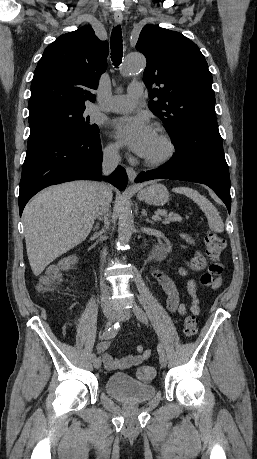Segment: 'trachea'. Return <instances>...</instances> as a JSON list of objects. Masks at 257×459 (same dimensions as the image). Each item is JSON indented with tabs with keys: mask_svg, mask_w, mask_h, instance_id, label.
Returning <instances> with one entry per match:
<instances>
[{
	"mask_svg": "<svg viewBox=\"0 0 257 459\" xmlns=\"http://www.w3.org/2000/svg\"><path fill=\"white\" fill-rule=\"evenodd\" d=\"M123 56L121 27L116 26L111 33V59L114 66H119Z\"/></svg>",
	"mask_w": 257,
	"mask_h": 459,
	"instance_id": "3493384b",
	"label": "trachea"
}]
</instances>
